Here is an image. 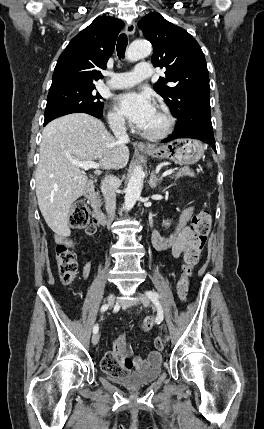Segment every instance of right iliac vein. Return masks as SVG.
<instances>
[{"label": "right iliac vein", "instance_id": "obj_1", "mask_svg": "<svg viewBox=\"0 0 264 429\" xmlns=\"http://www.w3.org/2000/svg\"><path fill=\"white\" fill-rule=\"evenodd\" d=\"M114 299H115V296H114V294L112 293L110 296H109V298H108V300H107V303H108V308L111 310L113 307H112V305H113V303H114ZM99 339H100V334L99 333H95L93 336H92V344L93 345H97L98 344V342H99Z\"/></svg>", "mask_w": 264, "mask_h": 429}]
</instances>
